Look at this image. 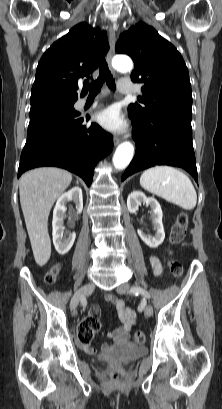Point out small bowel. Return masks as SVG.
Segmentation results:
<instances>
[{
	"label": "small bowel",
	"mask_w": 222,
	"mask_h": 409,
	"mask_svg": "<svg viewBox=\"0 0 222 409\" xmlns=\"http://www.w3.org/2000/svg\"><path fill=\"white\" fill-rule=\"evenodd\" d=\"M150 264L154 274L156 276H160L163 272L160 258L156 255L151 256ZM106 301L115 308L120 322L119 327L107 333V337L114 343H124L130 338V332L136 323V313L129 308L122 299L117 298L115 295H107ZM86 319L97 321L99 323L100 309L98 307H93ZM80 344L88 354H95L97 352L96 348L92 347L90 343L80 342ZM109 348L110 346L108 344H104L102 346L103 351H107Z\"/></svg>",
	"instance_id": "1"
}]
</instances>
